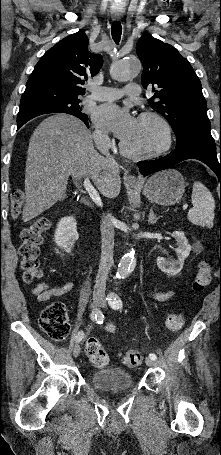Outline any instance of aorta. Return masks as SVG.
<instances>
[{"label": "aorta", "mask_w": 221, "mask_h": 455, "mask_svg": "<svg viewBox=\"0 0 221 455\" xmlns=\"http://www.w3.org/2000/svg\"><path fill=\"white\" fill-rule=\"evenodd\" d=\"M141 71V64L135 59H126L115 62L111 67V76L117 81H127L137 76ZM135 251L132 249L126 253L118 264V278H124L133 270L136 264Z\"/></svg>", "instance_id": "762f6f07"}]
</instances>
